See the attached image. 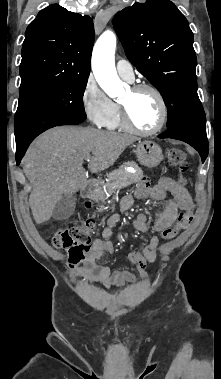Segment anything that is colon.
I'll use <instances>...</instances> for the list:
<instances>
[{
    "label": "colon",
    "instance_id": "colon-1",
    "mask_svg": "<svg viewBox=\"0 0 221 379\" xmlns=\"http://www.w3.org/2000/svg\"><path fill=\"white\" fill-rule=\"evenodd\" d=\"M168 161L177 171V182L184 185L186 180L184 173L187 171V156L186 153L178 148H171L168 151ZM90 206V203H86ZM193 220V210L188 209L182 211L172 228H167L162 231L164 239L175 237L181 230L186 229ZM95 222L91 218L83 219L73 226L65 229L57 230L52 236V242L57 248H61L68 253V262L71 267H79L87 264L88 253L91 245V234L94 231Z\"/></svg>",
    "mask_w": 221,
    "mask_h": 379
}]
</instances>
